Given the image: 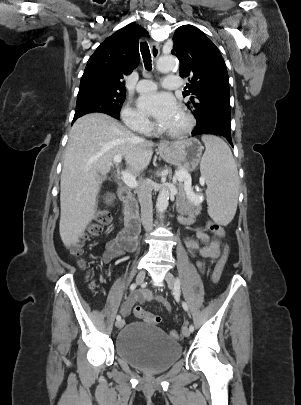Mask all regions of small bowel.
Returning <instances> with one entry per match:
<instances>
[{"label":"small bowel","instance_id":"1","mask_svg":"<svg viewBox=\"0 0 301 405\" xmlns=\"http://www.w3.org/2000/svg\"><path fill=\"white\" fill-rule=\"evenodd\" d=\"M180 221L186 225L193 224V217L187 212L186 209H182V215ZM194 232L195 239L186 238L185 245L193 257H197V265L203 270L206 259H215L221 254V243L218 239L211 238L205 231L195 227ZM127 251L121 244L120 234L117 237L110 240L102 255L104 263H110L113 259L122 256ZM154 298L153 294L149 290H141L131 293L127 296L121 306V313L125 316L129 315L133 305L137 302L149 301ZM162 301L161 298H158Z\"/></svg>","mask_w":301,"mask_h":405}]
</instances>
